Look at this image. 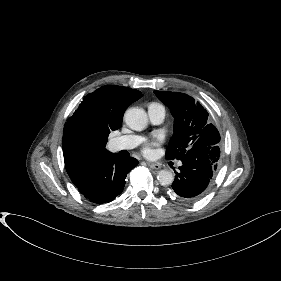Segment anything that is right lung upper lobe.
Listing matches in <instances>:
<instances>
[{"label":"right lung upper lobe","instance_id":"right-lung-upper-lobe-1","mask_svg":"<svg viewBox=\"0 0 281 281\" xmlns=\"http://www.w3.org/2000/svg\"><path fill=\"white\" fill-rule=\"evenodd\" d=\"M141 97L140 91L122 86H102L84 97L64 127L63 154L65 168L70 177L78 174L89 162L108 151L105 146H100L89 153L74 152L66 140L69 121L79 115H85L94 128L110 133L111 130H117L121 126L122 114L127 107Z\"/></svg>","mask_w":281,"mask_h":281}]
</instances>
